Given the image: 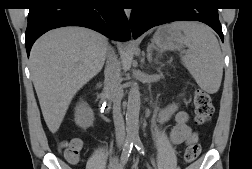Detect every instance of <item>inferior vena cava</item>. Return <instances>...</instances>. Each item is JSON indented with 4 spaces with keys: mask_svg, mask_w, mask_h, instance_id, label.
I'll use <instances>...</instances> for the list:
<instances>
[{
    "mask_svg": "<svg viewBox=\"0 0 252 169\" xmlns=\"http://www.w3.org/2000/svg\"><path fill=\"white\" fill-rule=\"evenodd\" d=\"M105 85L110 91L113 101V120L115 126L116 142L119 147L123 146L126 138L125 123L121 112V100L123 91L120 86L121 65L112 48H108L107 62L104 71Z\"/></svg>",
    "mask_w": 252,
    "mask_h": 169,
    "instance_id": "inferior-vena-cava-1",
    "label": "inferior vena cava"
}]
</instances>
